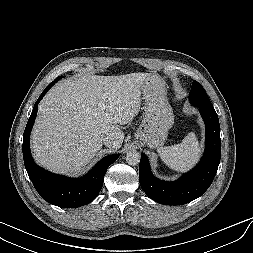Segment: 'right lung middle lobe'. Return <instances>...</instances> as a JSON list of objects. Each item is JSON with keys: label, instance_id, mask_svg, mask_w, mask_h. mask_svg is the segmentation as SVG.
I'll list each match as a JSON object with an SVG mask.
<instances>
[{"label": "right lung middle lobe", "instance_id": "right-lung-middle-lobe-1", "mask_svg": "<svg viewBox=\"0 0 253 253\" xmlns=\"http://www.w3.org/2000/svg\"><path fill=\"white\" fill-rule=\"evenodd\" d=\"M59 80V77H57L55 80H54V82H57Z\"/></svg>", "mask_w": 253, "mask_h": 253}]
</instances>
